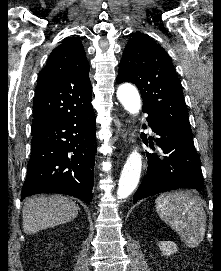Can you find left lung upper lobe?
Segmentation results:
<instances>
[{"label":"left lung upper lobe","mask_w":221,"mask_h":271,"mask_svg":"<svg viewBox=\"0 0 221 271\" xmlns=\"http://www.w3.org/2000/svg\"><path fill=\"white\" fill-rule=\"evenodd\" d=\"M116 81L136 84L143 97L144 112L192 136L175 68L166 51L151 38L131 36L124 49Z\"/></svg>","instance_id":"obj_1"}]
</instances>
